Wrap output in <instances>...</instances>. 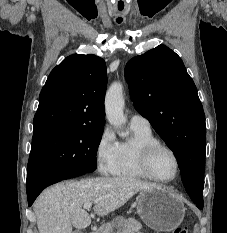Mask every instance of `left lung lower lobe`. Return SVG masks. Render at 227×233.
Returning <instances> with one entry per match:
<instances>
[{
	"label": "left lung lower lobe",
	"instance_id": "1",
	"mask_svg": "<svg viewBox=\"0 0 227 233\" xmlns=\"http://www.w3.org/2000/svg\"><path fill=\"white\" fill-rule=\"evenodd\" d=\"M198 208H203V200H198L196 197L191 198Z\"/></svg>",
	"mask_w": 227,
	"mask_h": 233
}]
</instances>
